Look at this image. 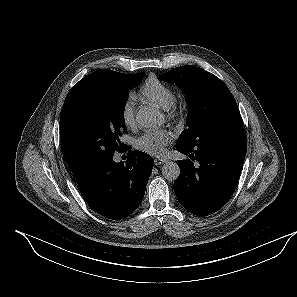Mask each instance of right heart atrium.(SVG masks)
Here are the masks:
<instances>
[{"label":"right heart atrium","mask_w":297,"mask_h":297,"mask_svg":"<svg viewBox=\"0 0 297 297\" xmlns=\"http://www.w3.org/2000/svg\"><path fill=\"white\" fill-rule=\"evenodd\" d=\"M120 116L126 127H132L135 123V105L132 96H127L121 104Z\"/></svg>","instance_id":"obj_1"}]
</instances>
